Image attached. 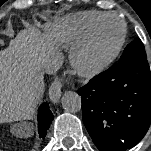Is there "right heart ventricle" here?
Here are the masks:
<instances>
[{"label":"right heart ventricle","instance_id":"right-heart-ventricle-1","mask_svg":"<svg viewBox=\"0 0 151 151\" xmlns=\"http://www.w3.org/2000/svg\"><path fill=\"white\" fill-rule=\"evenodd\" d=\"M106 12L90 10L84 11L70 16L67 20L68 28L78 37H84L93 24L105 15Z\"/></svg>","mask_w":151,"mask_h":151}]
</instances>
